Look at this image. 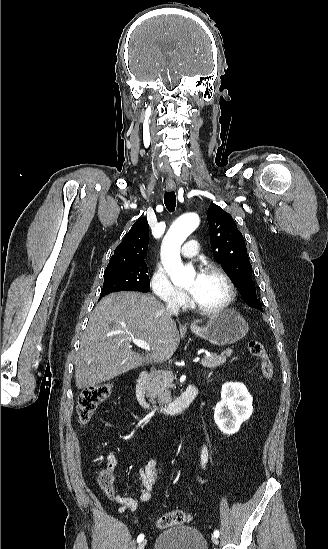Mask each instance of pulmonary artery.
<instances>
[{
  "mask_svg": "<svg viewBox=\"0 0 328 549\" xmlns=\"http://www.w3.org/2000/svg\"><path fill=\"white\" fill-rule=\"evenodd\" d=\"M200 248L201 245L197 241H186L181 252L185 258H191Z\"/></svg>",
  "mask_w": 328,
  "mask_h": 549,
  "instance_id": "1",
  "label": "pulmonary artery"
}]
</instances>
